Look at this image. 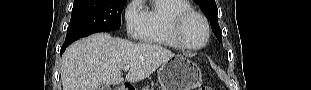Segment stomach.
Here are the masks:
<instances>
[{"label": "stomach", "mask_w": 311, "mask_h": 90, "mask_svg": "<svg viewBox=\"0 0 311 90\" xmlns=\"http://www.w3.org/2000/svg\"><path fill=\"white\" fill-rule=\"evenodd\" d=\"M161 90H194L201 85V72L191 60L176 55L164 62L158 70Z\"/></svg>", "instance_id": "1"}]
</instances>
